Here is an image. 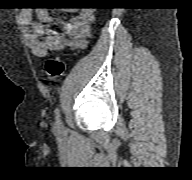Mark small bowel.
<instances>
[{
  "label": "small bowel",
  "mask_w": 192,
  "mask_h": 180,
  "mask_svg": "<svg viewBox=\"0 0 192 180\" xmlns=\"http://www.w3.org/2000/svg\"><path fill=\"white\" fill-rule=\"evenodd\" d=\"M38 21L33 19L30 9H23L19 14L27 46L32 54L37 57H46L50 52L65 48H85L91 37V24L94 14L89 9H84L78 14L64 21L54 19L49 11L41 8L37 11ZM44 24L62 25L64 32L48 29Z\"/></svg>",
  "instance_id": "small-bowel-1"
}]
</instances>
